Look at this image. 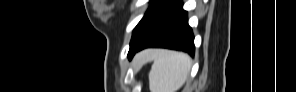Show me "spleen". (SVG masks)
<instances>
[{"label": "spleen", "mask_w": 296, "mask_h": 92, "mask_svg": "<svg viewBox=\"0 0 296 92\" xmlns=\"http://www.w3.org/2000/svg\"><path fill=\"white\" fill-rule=\"evenodd\" d=\"M143 57L154 60L149 73L150 92H176L188 78L192 61L186 54L157 50Z\"/></svg>", "instance_id": "spleen-1"}]
</instances>
